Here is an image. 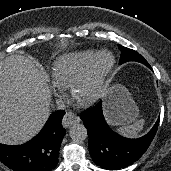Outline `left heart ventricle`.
Wrapping results in <instances>:
<instances>
[{"label":"left heart ventricle","instance_id":"1","mask_svg":"<svg viewBox=\"0 0 171 171\" xmlns=\"http://www.w3.org/2000/svg\"><path fill=\"white\" fill-rule=\"evenodd\" d=\"M109 60H110V57L107 54L102 55L98 59L96 67H95V71L92 74L91 78L86 83L82 84L78 90V97L80 99H85L93 93L94 88H95L94 77L101 68H103L109 63Z\"/></svg>","mask_w":171,"mask_h":171}]
</instances>
